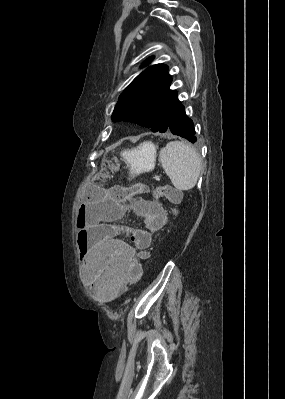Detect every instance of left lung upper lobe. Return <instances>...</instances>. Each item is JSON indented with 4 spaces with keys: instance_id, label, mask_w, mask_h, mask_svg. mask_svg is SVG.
I'll return each mask as SVG.
<instances>
[{
    "instance_id": "left-lung-upper-lobe-1",
    "label": "left lung upper lobe",
    "mask_w": 285,
    "mask_h": 399,
    "mask_svg": "<svg viewBox=\"0 0 285 399\" xmlns=\"http://www.w3.org/2000/svg\"><path fill=\"white\" fill-rule=\"evenodd\" d=\"M152 60L153 57L148 58L142 66ZM171 82L166 65L148 67L120 95L112 120L129 121L164 133L180 103L177 92L169 89Z\"/></svg>"
}]
</instances>
